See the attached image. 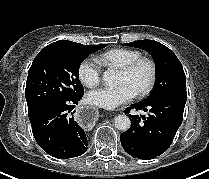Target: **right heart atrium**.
I'll return each instance as SVG.
<instances>
[{"label":"right heart atrium","mask_w":209,"mask_h":179,"mask_svg":"<svg viewBox=\"0 0 209 179\" xmlns=\"http://www.w3.org/2000/svg\"><path fill=\"white\" fill-rule=\"evenodd\" d=\"M102 69L93 58L84 59L78 66L79 80L88 88H93L100 83Z\"/></svg>","instance_id":"obj_1"}]
</instances>
